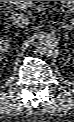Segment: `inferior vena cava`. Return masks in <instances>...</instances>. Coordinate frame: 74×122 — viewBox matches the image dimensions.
<instances>
[{
	"label": "inferior vena cava",
	"mask_w": 74,
	"mask_h": 122,
	"mask_svg": "<svg viewBox=\"0 0 74 122\" xmlns=\"http://www.w3.org/2000/svg\"><path fill=\"white\" fill-rule=\"evenodd\" d=\"M10 21L16 27L24 28L30 24V19L22 13H14L10 16Z\"/></svg>",
	"instance_id": "602c4592"
}]
</instances>
